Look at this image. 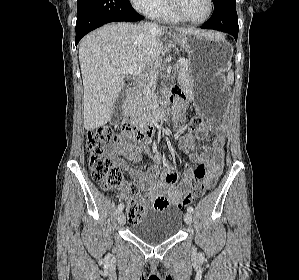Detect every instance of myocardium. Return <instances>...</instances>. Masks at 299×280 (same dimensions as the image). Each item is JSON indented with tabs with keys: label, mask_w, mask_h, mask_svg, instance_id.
I'll list each match as a JSON object with an SVG mask.
<instances>
[{
	"label": "myocardium",
	"mask_w": 299,
	"mask_h": 280,
	"mask_svg": "<svg viewBox=\"0 0 299 280\" xmlns=\"http://www.w3.org/2000/svg\"><path fill=\"white\" fill-rule=\"evenodd\" d=\"M169 7L171 11L181 20L190 24H202L206 22L212 15L213 12V0H208V12L207 14L200 20H192L189 17L185 15L183 10L181 9L180 6V1L179 0H168Z\"/></svg>",
	"instance_id": "f54148a6"
}]
</instances>
